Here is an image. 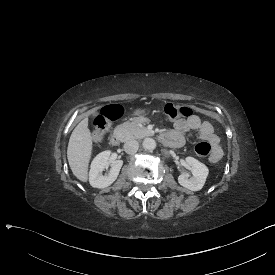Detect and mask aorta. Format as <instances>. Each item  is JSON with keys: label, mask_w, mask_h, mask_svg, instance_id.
<instances>
[{"label": "aorta", "mask_w": 275, "mask_h": 275, "mask_svg": "<svg viewBox=\"0 0 275 275\" xmlns=\"http://www.w3.org/2000/svg\"><path fill=\"white\" fill-rule=\"evenodd\" d=\"M143 147L146 150H154L156 148V142L152 138H145L143 141Z\"/></svg>", "instance_id": "aorta-1"}]
</instances>
